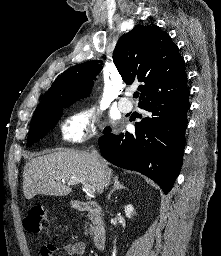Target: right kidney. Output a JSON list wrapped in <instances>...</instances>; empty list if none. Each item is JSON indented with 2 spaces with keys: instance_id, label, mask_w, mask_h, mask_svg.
<instances>
[{
  "instance_id": "1",
  "label": "right kidney",
  "mask_w": 221,
  "mask_h": 256,
  "mask_svg": "<svg viewBox=\"0 0 221 256\" xmlns=\"http://www.w3.org/2000/svg\"><path fill=\"white\" fill-rule=\"evenodd\" d=\"M124 211H125L126 217L131 218L132 214L134 213V208L132 205H127L125 206Z\"/></svg>"
}]
</instances>
